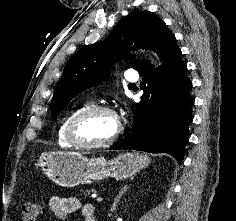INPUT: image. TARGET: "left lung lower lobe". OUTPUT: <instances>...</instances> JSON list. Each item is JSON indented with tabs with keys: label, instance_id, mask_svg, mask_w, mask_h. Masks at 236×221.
I'll return each mask as SVG.
<instances>
[{
	"label": "left lung lower lobe",
	"instance_id": "left-lung-lower-lobe-1",
	"mask_svg": "<svg viewBox=\"0 0 236 221\" xmlns=\"http://www.w3.org/2000/svg\"><path fill=\"white\" fill-rule=\"evenodd\" d=\"M154 52L162 61V70L149 62L138 70L144 93L136 107L134 124L131 132L112 149L168 153L181 163L192 122V83L170 31L162 35Z\"/></svg>",
	"mask_w": 236,
	"mask_h": 221
}]
</instances>
